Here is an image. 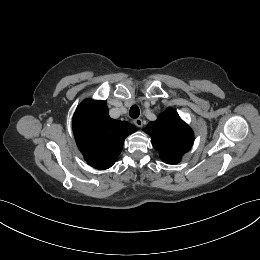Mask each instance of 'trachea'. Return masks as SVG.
Instances as JSON below:
<instances>
[{"mask_svg":"<svg viewBox=\"0 0 260 260\" xmlns=\"http://www.w3.org/2000/svg\"><path fill=\"white\" fill-rule=\"evenodd\" d=\"M129 115L131 118H138L140 115V110L137 105H132L129 110Z\"/></svg>","mask_w":260,"mask_h":260,"instance_id":"1","label":"trachea"}]
</instances>
